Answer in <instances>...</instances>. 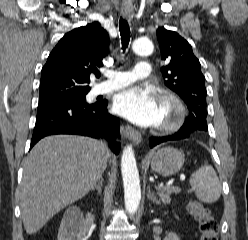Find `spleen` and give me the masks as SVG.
Returning <instances> with one entry per match:
<instances>
[{"label":"spleen","mask_w":248,"mask_h":240,"mask_svg":"<svg viewBox=\"0 0 248 240\" xmlns=\"http://www.w3.org/2000/svg\"><path fill=\"white\" fill-rule=\"evenodd\" d=\"M189 183L196 197L204 203H213L221 195V184L218 176L210 165L205 163L190 177Z\"/></svg>","instance_id":"obj_1"}]
</instances>
